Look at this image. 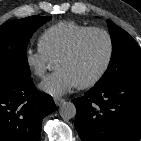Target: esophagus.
<instances>
[{
    "instance_id": "esophagus-1",
    "label": "esophagus",
    "mask_w": 141,
    "mask_h": 141,
    "mask_svg": "<svg viewBox=\"0 0 141 141\" xmlns=\"http://www.w3.org/2000/svg\"><path fill=\"white\" fill-rule=\"evenodd\" d=\"M64 99L62 98H54V102L56 104V106H60L62 103H64Z\"/></svg>"
}]
</instances>
